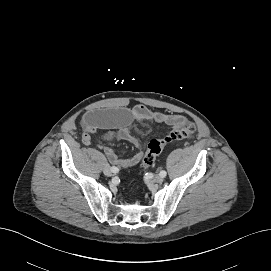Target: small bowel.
<instances>
[{
  "label": "small bowel",
  "instance_id": "small-bowel-1",
  "mask_svg": "<svg viewBox=\"0 0 271 271\" xmlns=\"http://www.w3.org/2000/svg\"><path fill=\"white\" fill-rule=\"evenodd\" d=\"M154 121L177 128L186 122V118L179 114L156 112L144 105H135L132 108H117L87 112L81 120L83 127L82 142L90 144L92 137L99 130L106 131V140H125L133 144L137 153L129 159H122L110 149H106V154L110 161L121 168H129L138 163L143 155L139 150V142L131 133V127L135 122Z\"/></svg>",
  "mask_w": 271,
  "mask_h": 271
}]
</instances>
